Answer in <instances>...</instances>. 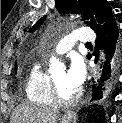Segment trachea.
Instances as JSON below:
<instances>
[{"mask_svg":"<svg viewBox=\"0 0 122 123\" xmlns=\"http://www.w3.org/2000/svg\"><path fill=\"white\" fill-rule=\"evenodd\" d=\"M86 46H91V43H86Z\"/></svg>","mask_w":122,"mask_h":123,"instance_id":"1","label":"trachea"}]
</instances>
